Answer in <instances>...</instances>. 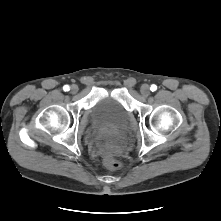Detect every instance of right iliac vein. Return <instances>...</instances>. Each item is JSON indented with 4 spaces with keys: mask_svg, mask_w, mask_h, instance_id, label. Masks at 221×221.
Masks as SVG:
<instances>
[{
    "mask_svg": "<svg viewBox=\"0 0 221 221\" xmlns=\"http://www.w3.org/2000/svg\"><path fill=\"white\" fill-rule=\"evenodd\" d=\"M78 92V86L77 85H72L71 86V93L76 94Z\"/></svg>",
    "mask_w": 221,
    "mask_h": 221,
    "instance_id": "right-iliac-vein-1",
    "label": "right iliac vein"
}]
</instances>
